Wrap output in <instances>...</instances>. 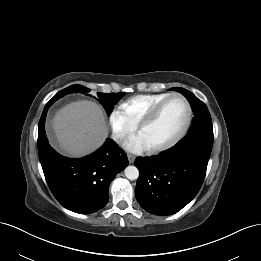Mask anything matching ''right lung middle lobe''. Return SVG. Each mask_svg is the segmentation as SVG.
Listing matches in <instances>:
<instances>
[{"mask_svg": "<svg viewBox=\"0 0 261 261\" xmlns=\"http://www.w3.org/2000/svg\"><path fill=\"white\" fill-rule=\"evenodd\" d=\"M89 91H90V89H88V88H86L84 86H81V85H71V86L63 89L62 91L58 92L51 99V102H55L56 100H58L59 98H61L65 94L76 93V92L85 94V93H88ZM97 96L99 97V101L104 106L107 114L110 115L111 112L113 111L114 105L117 104V102L124 96V93H110V94H106V93L98 92Z\"/></svg>", "mask_w": 261, "mask_h": 261, "instance_id": "dd1d6c3e", "label": "right lung middle lobe"}]
</instances>
